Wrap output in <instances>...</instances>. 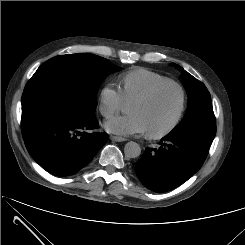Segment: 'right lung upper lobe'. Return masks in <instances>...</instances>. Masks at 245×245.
Segmentation results:
<instances>
[{
  "label": "right lung upper lobe",
  "instance_id": "1",
  "mask_svg": "<svg viewBox=\"0 0 245 245\" xmlns=\"http://www.w3.org/2000/svg\"><path fill=\"white\" fill-rule=\"evenodd\" d=\"M44 79L51 80L53 82L56 80H62L63 73L61 71L55 70L52 65H48V61H46L38 68V70L29 81H41Z\"/></svg>",
  "mask_w": 245,
  "mask_h": 245
}]
</instances>
